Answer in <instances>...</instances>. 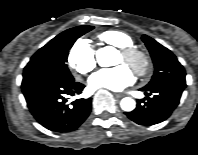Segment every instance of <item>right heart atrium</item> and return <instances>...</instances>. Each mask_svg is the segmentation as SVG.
Instances as JSON below:
<instances>
[{"label":"right heart atrium","mask_w":198,"mask_h":155,"mask_svg":"<svg viewBox=\"0 0 198 155\" xmlns=\"http://www.w3.org/2000/svg\"><path fill=\"white\" fill-rule=\"evenodd\" d=\"M68 64L81 75L88 74L95 67L94 51L87 40L81 39L73 44L68 53Z\"/></svg>","instance_id":"d8ad5b80"}]
</instances>
